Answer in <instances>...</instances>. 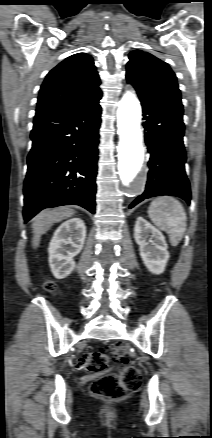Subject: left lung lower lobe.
<instances>
[{"label": "left lung lower lobe", "mask_w": 212, "mask_h": 438, "mask_svg": "<svg viewBox=\"0 0 212 438\" xmlns=\"http://www.w3.org/2000/svg\"><path fill=\"white\" fill-rule=\"evenodd\" d=\"M143 107L145 143L149 157L146 189L129 208L146 198L172 195L191 200L185 173L183 107L138 94Z\"/></svg>", "instance_id": "0a47b994"}]
</instances>
